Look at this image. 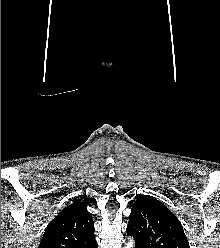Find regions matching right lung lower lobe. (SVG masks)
I'll list each match as a JSON object with an SVG mask.
<instances>
[{
  "mask_svg": "<svg viewBox=\"0 0 220 248\" xmlns=\"http://www.w3.org/2000/svg\"><path fill=\"white\" fill-rule=\"evenodd\" d=\"M97 247V244L96 242H94L91 246H89L88 248H96Z\"/></svg>",
  "mask_w": 220,
  "mask_h": 248,
  "instance_id": "obj_1",
  "label": "right lung lower lobe"
}]
</instances>
